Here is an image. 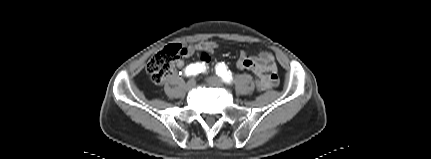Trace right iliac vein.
<instances>
[{"instance_id": "obj_1", "label": "right iliac vein", "mask_w": 431, "mask_h": 159, "mask_svg": "<svg viewBox=\"0 0 431 159\" xmlns=\"http://www.w3.org/2000/svg\"><path fill=\"white\" fill-rule=\"evenodd\" d=\"M196 86V80L195 79H190L187 83H186V89L187 90H191Z\"/></svg>"}]
</instances>
